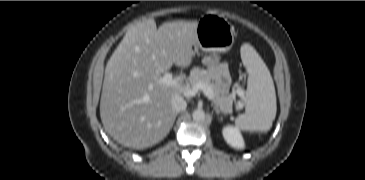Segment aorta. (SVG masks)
Returning a JSON list of instances; mask_svg holds the SVG:
<instances>
[{"mask_svg": "<svg viewBox=\"0 0 365 180\" xmlns=\"http://www.w3.org/2000/svg\"><path fill=\"white\" fill-rule=\"evenodd\" d=\"M193 119L196 121H204L205 120V112L203 110H195L192 114Z\"/></svg>", "mask_w": 365, "mask_h": 180, "instance_id": "1", "label": "aorta"}]
</instances>
